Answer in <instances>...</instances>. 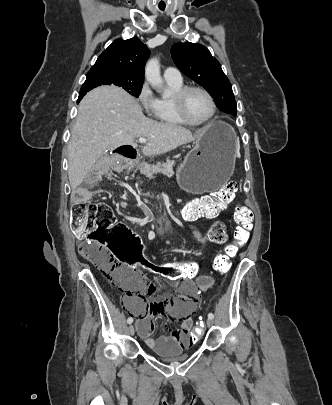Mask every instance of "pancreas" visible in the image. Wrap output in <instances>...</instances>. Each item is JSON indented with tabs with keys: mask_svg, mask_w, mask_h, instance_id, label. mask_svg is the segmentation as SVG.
<instances>
[{
	"mask_svg": "<svg viewBox=\"0 0 332 405\" xmlns=\"http://www.w3.org/2000/svg\"><path fill=\"white\" fill-rule=\"evenodd\" d=\"M174 166H175L174 160H167L166 162L157 163L156 165L152 166L150 168V173L151 174L161 173L163 175H166L167 177H172L174 175L173 170Z\"/></svg>",
	"mask_w": 332,
	"mask_h": 405,
	"instance_id": "1",
	"label": "pancreas"
}]
</instances>
